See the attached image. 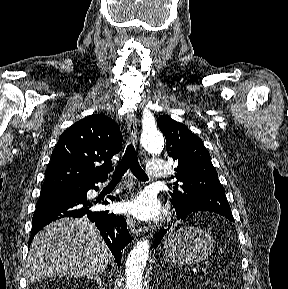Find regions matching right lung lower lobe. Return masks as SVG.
I'll return each instance as SVG.
<instances>
[{"instance_id": "right-lung-lower-lobe-1", "label": "right lung lower lobe", "mask_w": 288, "mask_h": 289, "mask_svg": "<svg viewBox=\"0 0 288 289\" xmlns=\"http://www.w3.org/2000/svg\"><path fill=\"white\" fill-rule=\"evenodd\" d=\"M99 180L79 187L75 192H65L54 196H40L36 211L32 219V232L30 242L34 236L47 224L61 217H83L95 222L105 243L111 250L115 260L120 266L121 250L131 242L126 220L121 215L110 214L109 211H91L93 203L87 200V191L97 190L95 183ZM112 201L113 196H108ZM103 204H108L107 201Z\"/></svg>"}]
</instances>
